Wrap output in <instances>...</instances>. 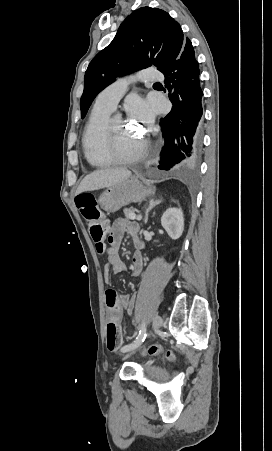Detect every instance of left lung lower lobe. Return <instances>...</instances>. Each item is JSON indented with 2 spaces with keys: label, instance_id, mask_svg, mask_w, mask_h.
Segmentation results:
<instances>
[{
  "label": "left lung lower lobe",
  "instance_id": "left-lung-lower-lobe-1",
  "mask_svg": "<svg viewBox=\"0 0 272 451\" xmlns=\"http://www.w3.org/2000/svg\"><path fill=\"white\" fill-rule=\"evenodd\" d=\"M162 73L173 106L161 119L165 145L158 167L185 169L195 166L199 160L203 131L199 64L188 38L177 59Z\"/></svg>",
  "mask_w": 272,
  "mask_h": 451
}]
</instances>
